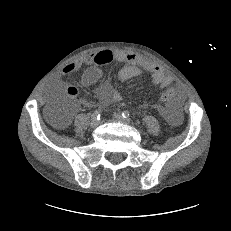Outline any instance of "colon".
<instances>
[{
	"label": "colon",
	"instance_id": "obj_1",
	"mask_svg": "<svg viewBox=\"0 0 231 231\" xmlns=\"http://www.w3.org/2000/svg\"><path fill=\"white\" fill-rule=\"evenodd\" d=\"M177 94V91L175 88L173 87H167L164 92H162L160 95H159V100L162 102V103H169L171 102L174 97L176 96Z\"/></svg>",
	"mask_w": 231,
	"mask_h": 231
}]
</instances>
